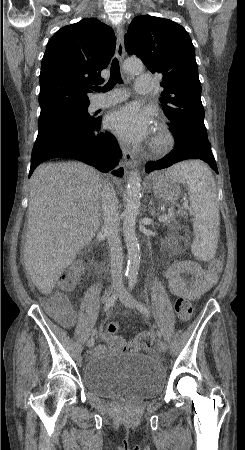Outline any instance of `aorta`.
I'll return each instance as SVG.
<instances>
[{"instance_id": "obj_1", "label": "aorta", "mask_w": 245, "mask_h": 450, "mask_svg": "<svg viewBox=\"0 0 245 450\" xmlns=\"http://www.w3.org/2000/svg\"><path fill=\"white\" fill-rule=\"evenodd\" d=\"M123 68L128 73H137L143 69V63L139 59L127 58L123 63ZM126 193L123 236L128 257L126 275L132 279L137 277L140 265V247L135 229L141 200V177L137 170H133L129 174Z\"/></svg>"}]
</instances>
